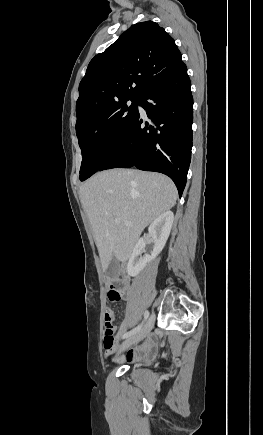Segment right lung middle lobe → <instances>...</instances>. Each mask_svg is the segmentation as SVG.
<instances>
[{"instance_id":"right-lung-middle-lobe-1","label":"right lung middle lobe","mask_w":263,"mask_h":435,"mask_svg":"<svg viewBox=\"0 0 263 435\" xmlns=\"http://www.w3.org/2000/svg\"><path fill=\"white\" fill-rule=\"evenodd\" d=\"M129 101L132 102L131 105ZM139 103L140 99L116 102L76 128L83 157L81 181L97 172L121 144L139 113Z\"/></svg>"}]
</instances>
